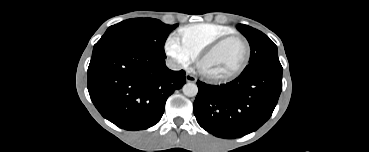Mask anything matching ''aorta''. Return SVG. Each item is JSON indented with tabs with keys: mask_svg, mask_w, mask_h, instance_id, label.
Listing matches in <instances>:
<instances>
[{
	"mask_svg": "<svg viewBox=\"0 0 369 152\" xmlns=\"http://www.w3.org/2000/svg\"><path fill=\"white\" fill-rule=\"evenodd\" d=\"M182 91H183L184 95H186L188 97H194L198 93V87H197L196 84H194L192 82H188V83L184 84V86L182 87Z\"/></svg>",
	"mask_w": 369,
	"mask_h": 152,
	"instance_id": "aorta-1",
	"label": "aorta"
}]
</instances>
